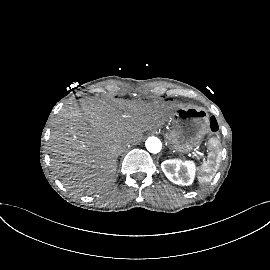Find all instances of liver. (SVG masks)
I'll use <instances>...</instances> for the list:
<instances>
[{"instance_id":"liver-1","label":"liver","mask_w":270,"mask_h":270,"mask_svg":"<svg viewBox=\"0 0 270 270\" xmlns=\"http://www.w3.org/2000/svg\"><path fill=\"white\" fill-rule=\"evenodd\" d=\"M168 117L164 104L83 99L81 108L75 104L62 109L53 121V168L69 188L102 189L115 181L121 144L161 127Z\"/></svg>"}]
</instances>
